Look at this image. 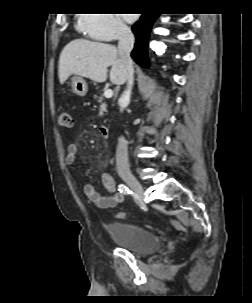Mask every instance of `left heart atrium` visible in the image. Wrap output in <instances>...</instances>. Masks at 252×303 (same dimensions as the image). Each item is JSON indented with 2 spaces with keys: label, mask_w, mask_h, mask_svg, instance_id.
<instances>
[{
  "label": "left heart atrium",
  "mask_w": 252,
  "mask_h": 303,
  "mask_svg": "<svg viewBox=\"0 0 252 303\" xmlns=\"http://www.w3.org/2000/svg\"><path fill=\"white\" fill-rule=\"evenodd\" d=\"M124 17L127 19V21L132 22L135 19L134 14H125Z\"/></svg>",
  "instance_id": "left-heart-atrium-1"
}]
</instances>
